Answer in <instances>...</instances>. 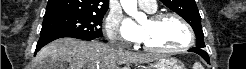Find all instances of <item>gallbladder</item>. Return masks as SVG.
<instances>
[{
    "label": "gallbladder",
    "mask_w": 246,
    "mask_h": 69,
    "mask_svg": "<svg viewBox=\"0 0 246 69\" xmlns=\"http://www.w3.org/2000/svg\"><path fill=\"white\" fill-rule=\"evenodd\" d=\"M54 67V66H52ZM55 69H65V66L64 65H56Z\"/></svg>",
    "instance_id": "obj_1"
}]
</instances>
